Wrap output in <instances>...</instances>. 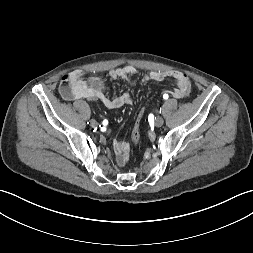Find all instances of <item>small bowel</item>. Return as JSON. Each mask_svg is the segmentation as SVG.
Instances as JSON below:
<instances>
[{
  "label": "small bowel",
  "instance_id": "1",
  "mask_svg": "<svg viewBox=\"0 0 253 253\" xmlns=\"http://www.w3.org/2000/svg\"><path fill=\"white\" fill-rule=\"evenodd\" d=\"M135 73L136 69L134 67L124 66L110 70L109 76L114 80L123 79L130 81ZM168 78H172L176 82V87L168 92L169 95L181 99L190 93L191 83L188 76L177 70L151 71L143 76L142 81L144 83L160 82ZM60 93L65 100H96L100 101L108 109H117L133 104L132 97L128 92L113 98L108 97L104 92L103 81L99 77L85 79V73L82 70H74L63 77ZM112 146L116 153L117 165L119 167L124 166L128 161V143L121 140H113Z\"/></svg>",
  "mask_w": 253,
  "mask_h": 253
}]
</instances>
